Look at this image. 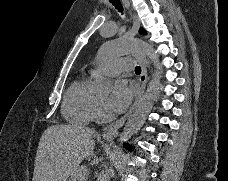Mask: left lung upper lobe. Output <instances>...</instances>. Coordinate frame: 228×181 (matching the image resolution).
<instances>
[{"mask_svg": "<svg viewBox=\"0 0 228 181\" xmlns=\"http://www.w3.org/2000/svg\"><path fill=\"white\" fill-rule=\"evenodd\" d=\"M140 33H141V34H144V30H143V29H140Z\"/></svg>", "mask_w": 228, "mask_h": 181, "instance_id": "obj_1", "label": "left lung upper lobe"}]
</instances>
